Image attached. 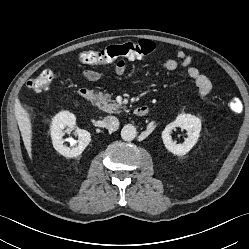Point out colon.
Here are the masks:
<instances>
[{
  "mask_svg": "<svg viewBox=\"0 0 249 249\" xmlns=\"http://www.w3.org/2000/svg\"><path fill=\"white\" fill-rule=\"evenodd\" d=\"M155 43L142 39L118 45H111L101 51H82L78 55L80 62L85 64H108L117 59H139L150 55L155 50ZM56 77V71L47 69L28 82V86L35 92L47 91ZM227 110L231 114L242 111V103L237 96H231L227 102Z\"/></svg>",
  "mask_w": 249,
  "mask_h": 249,
  "instance_id": "5ec220e1",
  "label": "colon"
}]
</instances>
